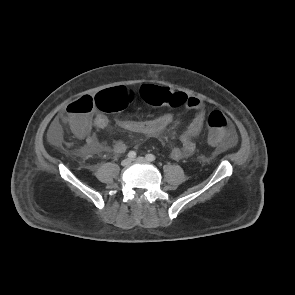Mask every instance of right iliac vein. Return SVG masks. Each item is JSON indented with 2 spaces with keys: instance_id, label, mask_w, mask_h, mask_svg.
I'll return each mask as SVG.
<instances>
[{
  "instance_id": "63e3f726",
  "label": "right iliac vein",
  "mask_w": 295,
  "mask_h": 295,
  "mask_svg": "<svg viewBox=\"0 0 295 295\" xmlns=\"http://www.w3.org/2000/svg\"><path fill=\"white\" fill-rule=\"evenodd\" d=\"M131 163V159L129 158H125L122 162L121 165L122 166H128Z\"/></svg>"
}]
</instances>
